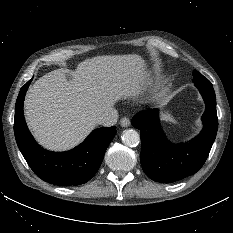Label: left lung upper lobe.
I'll return each mask as SVG.
<instances>
[{
	"label": "left lung upper lobe",
	"mask_w": 233,
	"mask_h": 233,
	"mask_svg": "<svg viewBox=\"0 0 233 233\" xmlns=\"http://www.w3.org/2000/svg\"><path fill=\"white\" fill-rule=\"evenodd\" d=\"M193 82L195 84H200V83H207L210 82L207 78H205L202 74H200L198 71L194 70L193 71Z\"/></svg>",
	"instance_id": "5c2ea615"
}]
</instances>
